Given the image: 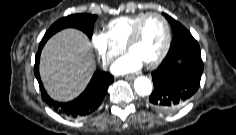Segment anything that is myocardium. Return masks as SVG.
Here are the masks:
<instances>
[{
    "instance_id": "f54148a6",
    "label": "myocardium",
    "mask_w": 236,
    "mask_h": 135,
    "mask_svg": "<svg viewBox=\"0 0 236 135\" xmlns=\"http://www.w3.org/2000/svg\"><path fill=\"white\" fill-rule=\"evenodd\" d=\"M150 16H156L158 18L161 19V21L163 22L164 28H165V42L163 45V48L161 50V52L159 53V55L148 62H145V65L148 67H154L156 65H158L167 55L169 48H170V44H171V30H170V26L169 23L167 21V19L160 13L157 12H148L145 13L135 24V26L133 27L125 45H124V50L129 52L130 48L137 42L139 35H140V30H141V26L143 24V22Z\"/></svg>"
}]
</instances>
